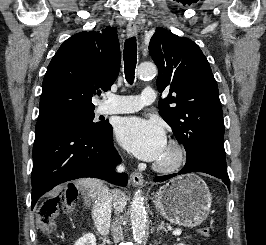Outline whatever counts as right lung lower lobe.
Masks as SVG:
<instances>
[{"label": "right lung lower lobe", "instance_id": "obj_1", "mask_svg": "<svg viewBox=\"0 0 266 245\" xmlns=\"http://www.w3.org/2000/svg\"><path fill=\"white\" fill-rule=\"evenodd\" d=\"M98 131L59 122L36 132L33 145L32 204L58 184L81 177L104 179L125 187L127 175L114 173L121 159L108 122Z\"/></svg>", "mask_w": 266, "mask_h": 245}]
</instances>
